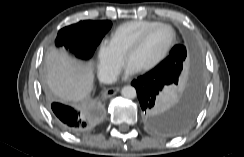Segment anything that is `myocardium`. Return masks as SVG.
<instances>
[{
  "instance_id": "1",
  "label": "myocardium",
  "mask_w": 244,
  "mask_h": 157,
  "mask_svg": "<svg viewBox=\"0 0 244 157\" xmlns=\"http://www.w3.org/2000/svg\"><path fill=\"white\" fill-rule=\"evenodd\" d=\"M159 27H166L169 28L172 31V38L171 41L169 42V44L167 45V47L163 50V52L150 64H148L147 66L139 69L138 71L141 73H145L148 72L152 69H154L156 66H158L164 59L165 57L168 55V53L170 52V50L172 49V47L175 45L176 43V30L175 28L168 24V23H157L151 27H149L148 29H146L145 31H143L139 37L129 46V48L126 50L125 54H124V58L125 61L128 62L129 57L136 51L138 50L141 45L144 43L145 39L147 38V36L156 28Z\"/></svg>"
}]
</instances>
